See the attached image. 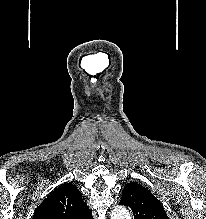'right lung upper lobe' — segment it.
Returning a JSON list of instances; mask_svg holds the SVG:
<instances>
[{"mask_svg": "<svg viewBox=\"0 0 206 219\" xmlns=\"http://www.w3.org/2000/svg\"><path fill=\"white\" fill-rule=\"evenodd\" d=\"M32 219H92V211L71 183L58 186L37 207Z\"/></svg>", "mask_w": 206, "mask_h": 219, "instance_id": "cb5924a9", "label": "right lung upper lobe"}]
</instances>
